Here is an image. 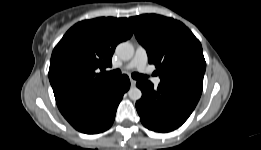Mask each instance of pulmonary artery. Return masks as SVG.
<instances>
[{
  "mask_svg": "<svg viewBox=\"0 0 261 150\" xmlns=\"http://www.w3.org/2000/svg\"><path fill=\"white\" fill-rule=\"evenodd\" d=\"M147 62H148V55L142 46H139L136 49L135 55L133 59L125 66V69H133L136 68L140 72L147 73L148 72V67H147ZM161 79L159 77H153L152 82L155 85H158L160 83Z\"/></svg>",
  "mask_w": 261,
  "mask_h": 150,
  "instance_id": "e3ab8cb5",
  "label": "pulmonary artery"
}]
</instances>
